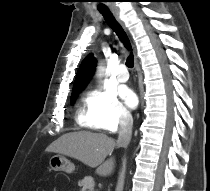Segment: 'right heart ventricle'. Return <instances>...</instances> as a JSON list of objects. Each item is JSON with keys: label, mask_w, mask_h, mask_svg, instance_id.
Instances as JSON below:
<instances>
[{"label": "right heart ventricle", "mask_w": 210, "mask_h": 191, "mask_svg": "<svg viewBox=\"0 0 210 191\" xmlns=\"http://www.w3.org/2000/svg\"><path fill=\"white\" fill-rule=\"evenodd\" d=\"M78 122L84 127L98 128L88 108L87 101H84L78 110Z\"/></svg>", "instance_id": "e07e8e85"}]
</instances>
